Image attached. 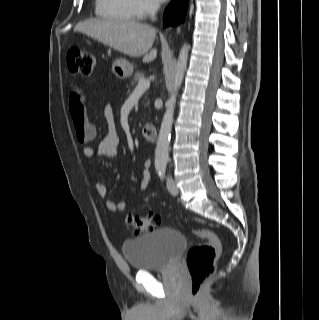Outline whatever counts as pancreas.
Here are the masks:
<instances>
[{
    "mask_svg": "<svg viewBox=\"0 0 319 320\" xmlns=\"http://www.w3.org/2000/svg\"><path fill=\"white\" fill-rule=\"evenodd\" d=\"M142 78H144V74L140 73V72H136L134 77H133L132 83H136L137 81H139Z\"/></svg>",
    "mask_w": 319,
    "mask_h": 320,
    "instance_id": "1",
    "label": "pancreas"
}]
</instances>
